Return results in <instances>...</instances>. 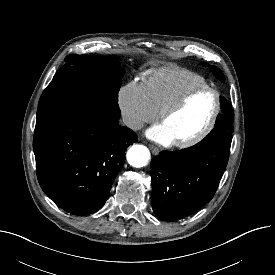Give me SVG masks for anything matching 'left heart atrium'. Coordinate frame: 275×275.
I'll return each instance as SVG.
<instances>
[{"instance_id": "39dd6f15", "label": "left heart atrium", "mask_w": 275, "mask_h": 275, "mask_svg": "<svg viewBox=\"0 0 275 275\" xmlns=\"http://www.w3.org/2000/svg\"><path fill=\"white\" fill-rule=\"evenodd\" d=\"M147 136L162 144H170L173 142V138L162 124H158L150 128L147 131Z\"/></svg>"}]
</instances>
